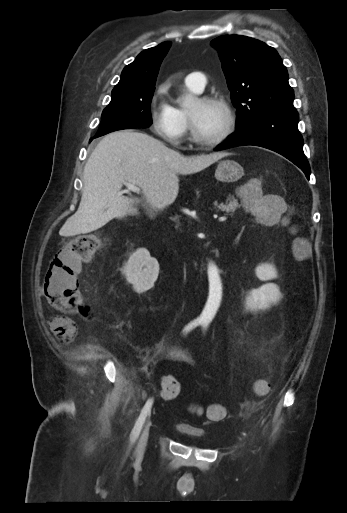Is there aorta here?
<instances>
[{
    "label": "aorta",
    "mask_w": 347,
    "mask_h": 513,
    "mask_svg": "<svg viewBox=\"0 0 347 513\" xmlns=\"http://www.w3.org/2000/svg\"><path fill=\"white\" fill-rule=\"evenodd\" d=\"M198 103V99L194 96L188 95L183 98V106L187 109L193 108ZM209 277V298L204 311L201 314L202 320H210L217 307L219 306L222 295V284L219 277L217 267L210 263L208 266Z\"/></svg>",
    "instance_id": "obj_1"
}]
</instances>
